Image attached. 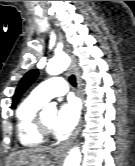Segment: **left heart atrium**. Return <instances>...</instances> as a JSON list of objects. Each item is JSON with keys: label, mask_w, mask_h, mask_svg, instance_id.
Listing matches in <instances>:
<instances>
[{"label": "left heart atrium", "mask_w": 135, "mask_h": 166, "mask_svg": "<svg viewBox=\"0 0 135 166\" xmlns=\"http://www.w3.org/2000/svg\"><path fill=\"white\" fill-rule=\"evenodd\" d=\"M79 103L70 98L59 108L53 122V130L59 135H68L75 128L79 119Z\"/></svg>", "instance_id": "1"}]
</instances>
